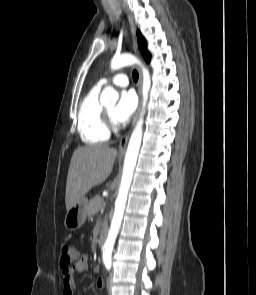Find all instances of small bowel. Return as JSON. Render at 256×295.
I'll return each instance as SVG.
<instances>
[{
	"label": "small bowel",
	"instance_id": "obj_1",
	"mask_svg": "<svg viewBox=\"0 0 256 295\" xmlns=\"http://www.w3.org/2000/svg\"><path fill=\"white\" fill-rule=\"evenodd\" d=\"M88 257L83 255L79 258L76 265L71 269L62 270V286H63V295H73L76 283L74 280V273H82L87 269ZM94 286L98 290H102L105 286L102 279H97L94 283Z\"/></svg>",
	"mask_w": 256,
	"mask_h": 295
}]
</instances>
